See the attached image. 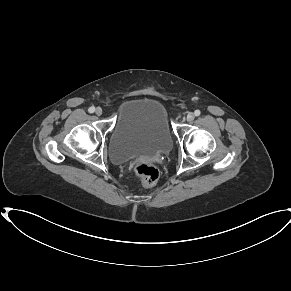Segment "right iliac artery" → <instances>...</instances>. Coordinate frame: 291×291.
I'll return each instance as SVG.
<instances>
[{
  "label": "right iliac artery",
  "instance_id": "82829eb1",
  "mask_svg": "<svg viewBox=\"0 0 291 291\" xmlns=\"http://www.w3.org/2000/svg\"><path fill=\"white\" fill-rule=\"evenodd\" d=\"M88 111H89V113H93L94 111H95V107H90L89 109H88Z\"/></svg>",
  "mask_w": 291,
  "mask_h": 291
}]
</instances>
